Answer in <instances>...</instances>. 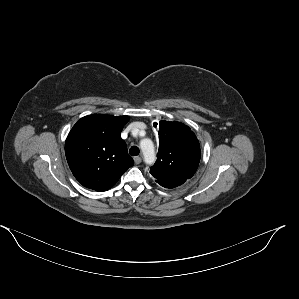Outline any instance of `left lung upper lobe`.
<instances>
[{"label": "left lung upper lobe", "instance_id": "left-lung-upper-lobe-1", "mask_svg": "<svg viewBox=\"0 0 299 299\" xmlns=\"http://www.w3.org/2000/svg\"><path fill=\"white\" fill-rule=\"evenodd\" d=\"M200 144L191 129L180 122L160 121L159 151L150 173L157 180L187 178L200 162Z\"/></svg>", "mask_w": 299, "mask_h": 299}]
</instances>
